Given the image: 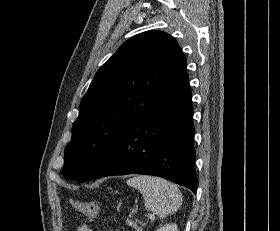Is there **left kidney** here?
<instances>
[{"label":"left kidney","instance_id":"left-kidney-1","mask_svg":"<svg viewBox=\"0 0 280 231\" xmlns=\"http://www.w3.org/2000/svg\"><path fill=\"white\" fill-rule=\"evenodd\" d=\"M157 231H178V227L176 223H171V225H163V227H160Z\"/></svg>","mask_w":280,"mask_h":231}]
</instances>
